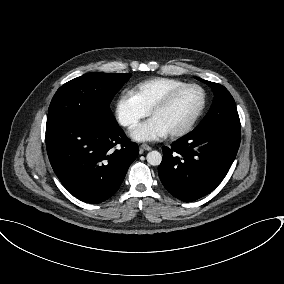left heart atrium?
Listing matches in <instances>:
<instances>
[{
    "instance_id": "1",
    "label": "left heart atrium",
    "mask_w": 284,
    "mask_h": 284,
    "mask_svg": "<svg viewBox=\"0 0 284 284\" xmlns=\"http://www.w3.org/2000/svg\"><path fill=\"white\" fill-rule=\"evenodd\" d=\"M130 135L136 141H152L163 138L167 132L154 118H150L134 127Z\"/></svg>"
}]
</instances>
